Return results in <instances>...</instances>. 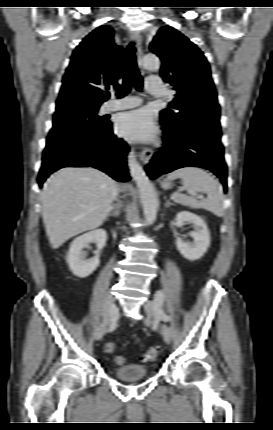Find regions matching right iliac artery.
Returning <instances> with one entry per match:
<instances>
[{"label": "right iliac artery", "instance_id": "1", "mask_svg": "<svg viewBox=\"0 0 273 430\" xmlns=\"http://www.w3.org/2000/svg\"><path fill=\"white\" fill-rule=\"evenodd\" d=\"M117 315L114 317L112 324L110 325L108 331H113L116 328Z\"/></svg>", "mask_w": 273, "mask_h": 430}]
</instances>
